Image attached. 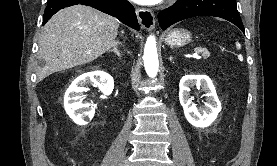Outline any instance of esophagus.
I'll return each mask as SVG.
<instances>
[{"instance_id": "34e87169", "label": "esophagus", "mask_w": 277, "mask_h": 166, "mask_svg": "<svg viewBox=\"0 0 277 166\" xmlns=\"http://www.w3.org/2000/svg\"><path fill=\"white\" fill-rule=\"evenodd\" d=\"M136 14L141 26L146 30H152L155 27L154 14L150 9L137 8Z\"/></svg>"}]
</instances>
